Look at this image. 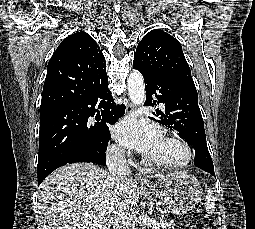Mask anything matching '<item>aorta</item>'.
<instances>
[{
	"mask_svg": "<svg viewBox=\"0 0 255 229\" xmlns=\"http://www.w3.org/2000/svg\"><path fill=\"white\" fill-rule=\"evenodd\" d=\"M128 94L130 100L135 105H142L145 102V85L142 74L134 70L129 75L128 80Z\"/></svg>",
	"mask_w": 255,
	"mask_h": 229,
	"instance_id": "1",
	"label": "aorta"
}]
</instances>
